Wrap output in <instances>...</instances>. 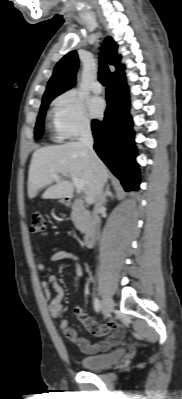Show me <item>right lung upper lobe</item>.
I'll use <instances>...</instances> for the list:
<instances>
[{
    "instance_id": "obj_1",
    "label": "right lung upper lobe",
    "mask_w": 182,
    "mask_h": 399,
    "mask_svg": "<svg viewBox=\"0 0 182 399\" xmlns=\"http://www.w3.org/2000/svg\"><path fill=\"white\" fill-rule=\"evenodd\" d=\"M105 56L109 64L117 70L110 75L111 78L124 75V66L120 64L121 57L117 54V44L111 37L104 43ZM78 69V56L76 51L65 55L55 66L53 75L47 84L43 99L55 98L75 84V75Z\"/></svg>"
}]
</instances>
